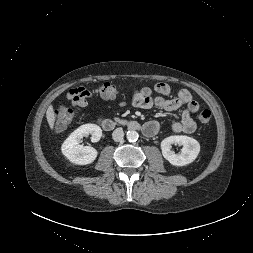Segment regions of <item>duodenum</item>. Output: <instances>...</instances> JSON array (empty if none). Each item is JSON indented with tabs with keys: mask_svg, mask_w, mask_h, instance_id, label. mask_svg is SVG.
<instances>
[{
	"mask_svg": "<svg viewBox=\"0 0 253 253\" xmlns=\"http://www.w3.org/2000/svg\"><path fill=\"white\" fill-rule=\"evenodd\" d=\"M100 125L101 127L106 130V131H111V130H114L115 128L118 127V122L113 120V119H110V118H102L100 120ZM127 127L130 129V130H134V131H138V130H142L143 127L141 126V124L137 121H129L127 123Z\"/></svg>",
	"mask_w": 253,
	"mask_h": 253,
	"instance_id": "obj_1",
	"label": "duodenum"
}]
</instances>
